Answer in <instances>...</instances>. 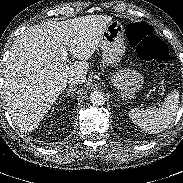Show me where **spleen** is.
<instances>
[{
  "mask_svg": "<svg viewBox=\"0 0 183 183\" xmlns=\"http://www.w3.org/2000/svg\"><path fill=\"white\" fill-rule=\"evenodd\" d=\"M179 108V92L173 90L159 108L132 109L128 115L134 124L149 134L163 132L172 123Z\"/></svg>",
  "mask_w": 183,
  "mask_h": 183,
  "instance_id": "spleen-1",
  "label": "spleen"
}]
</instances>
